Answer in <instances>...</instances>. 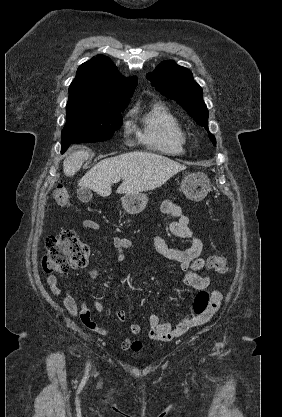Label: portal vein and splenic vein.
Segmentation results:
<instances>
[{
    "instance_id": "obj_1",
    "label": "portal vein and splenic vein",
    "mask_w": 282,
    "mask_h": 417,
    "mask_svg": "<svg viewBox=\"0 0 282 417\" xmlns=\"http://www.w3.org/2000/svg\"><path fill=\"white\" fill-rule=\"evenodd\" d=\"M120 178H115L114 182H119Z\"/></svg>"
}]
</instances>
